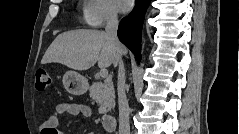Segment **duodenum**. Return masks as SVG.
<instances>
[{
    "label": "duodenum",
    "mask_w": 239,
    "mask_h": 134,
    "mask_svg": "<svg viewBox=\"0 0 239 134\" xmlns=\"http://www.w3.org/2000/svg\"><path fill=\"white\" fill-rule=\"evenodd\" d=\"M102 125L107 132H113L116 126L115 117L112 115H105L102 118Z\"/></svg>",
    "instance_id": "duodenum-1"
}]
</instances>
